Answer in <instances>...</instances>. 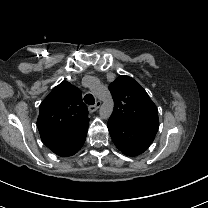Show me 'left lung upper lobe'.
I'll return each instance as SVG.
<instances>
[{"label": "left lung upper lobe", "instance_id": "obj_1", "mask_svg": "<svg viewBox=\"0 0 208 208\" xmlns=\"http://www.w3.org/2000/svg\"><path fill=\"white\" fill-rule=\"evenodd\" d=\"M109 90L114 99L109 120L134 128L153 142L159 128L158 110L143 87L133 78L120 75Z\"/></svg>", "mask_w": 208, "mask_h": 208}]
</instances>
